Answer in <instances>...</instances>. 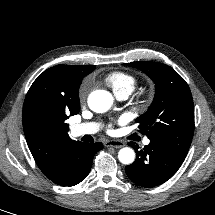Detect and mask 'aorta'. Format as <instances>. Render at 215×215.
Here are the masks:
<instances>
[{"label":"aorta","instance_id":"obj_1","mask_svg":"<svg viewBox=\"0 0 215 215\" xmlns=\"http://www.w3.org/2000/svg\"><path fill=\"white\" fill-rule=\"evenodd\" d=\"M113 96L105 90L93 91L88 97L89 108L96 113H104L110 109L113 104ZM119 161L123 164H131L135 159L134 150L125 147L118 153Z\"/></svg>","mask_w":215,"mask_h":215}]
</instances>
